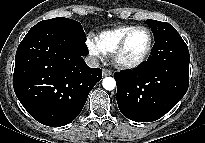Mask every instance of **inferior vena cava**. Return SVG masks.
<instances>
[{
    "label": "inferior vena cava",
    "mask_w": 205,
    "mask_h": 143,
    "mask_svg": "<svg viewBox=\"0 0 205 143\" xmlns=\"http://www.w3.org/2000/svg\"><path fill=\"white\" fill-rule=\"evenodd\" d=\"M85 62L87 64V66H89L90 68H98L99 67V61L96 57L94 56H87L85 58Z\"/></svg>",
    "instance_id": "inferior-vena-cava-1"
}]
</instances>
